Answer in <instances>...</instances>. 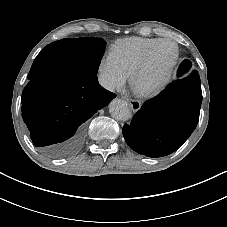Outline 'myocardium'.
<instances>
[{"instance_id": "f54148a6", "label": "myocardium", "mask_w": 227, "mask_h": 227, "mask_svg": "<svg viewBox=\"0 0 227 227\" xmlns=\"http://www.w3.org/2000/svg\"><path fill=\"white\" fill-rule=\"evenodd\" d=\"M165 42H169L172 43L175 48H176V54L173 58V60L171 61L170 65L168 66L167 70L165 71V73L163 74V76L160 78V80L158 82H156L154 85H152L149 88L146 89H141L136 85V78L137 76L147 68V66L149 65L152 56L156 50V48ZM180 60V47L177 44L176 41H174L171 38H162L159 39L157 42H155L145 53L144 57L135 65V67L132 69L131 73H130V77H129V82H130V86L132 88V90L139 96L142 97H150V96H154L159 94L169 83V81L171 80L175 69L179 63Z\"/></svg>"}]
</instances>
